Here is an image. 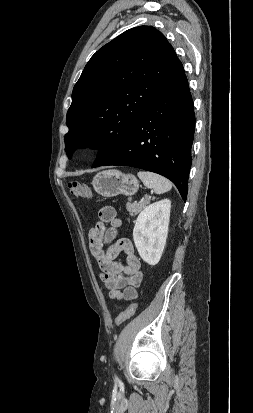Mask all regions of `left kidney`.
<instances>
[{
	"mask_svg": "<svg viewBox=\"0 0 253 413\" xmlns=\"http://www.w3.org/2000/svg\"><path fill=\"white\" fill-rule=\"evenodd\" d=\"M171 201L164 199L145 207L139 214L133 239L140 257L149 265H156L162 256L168 235Z\"/></svg>",
	"mask_w": 253,
	"mask_h": 413,
	"instance_id": "1",
	"label": "left kidney"
}]
</instances>
